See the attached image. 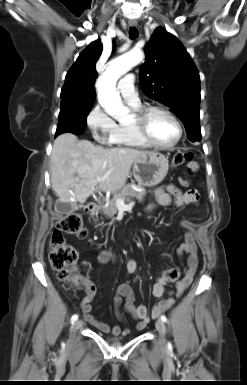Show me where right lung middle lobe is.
Wrapping results in <instances>:
<instances>
[{
    "label": "right lung middle lobe",
    "mask_w": 247,
    "mask_h": 385,
    "mask_svg": "<svg viewBox=\"0 0 247 385\" xmlns=\"http://www.w3.org/2000/svg\"><path fill=\"white\" fill-rule=\"evenodd\" d=\"M92 106L93 103L73 100L62 101L55 136L66 132L76 135L83 133L87 126L86 119Z\"/></svg>",
    "instance_id": "1"
}]
</instances>
